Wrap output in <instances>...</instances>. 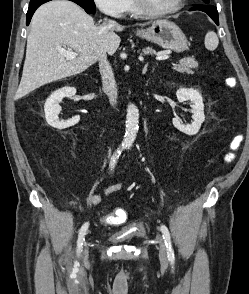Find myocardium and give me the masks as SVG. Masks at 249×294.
Instances as JSON below:
<instances>
[{"mask_svg":"<svg viewBox=\"0 0 249 294\" xmlns=\"http://www.w3.org/2000/svg\"><path fill=\"white\" fill-rule=\"evenodd\" d=\"M137 11L148 17H162L177 12L184 5L186 0H178L177 3L166 10H153L146 4L145 0H133Z\"/></svg>","mask_w":249,"mask_h":294,"instance_id":"f54148a6","label":"myocardium"}]
</instances>
